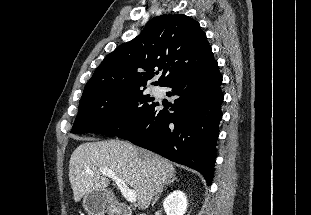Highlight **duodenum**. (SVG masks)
I'll list each match as a JSON object with an SVG mask.
<instances>
[{"mask_svg":"<svg viewBox=\"0 0 311 215\" xmlns=\"http://www.w3.org/2000/svg\"><path fill=\"white\" fill-rule=\"evenodd\" d=\"M114 215H133L131 209L124 204H119L114 210ZM137 215H146V214H137Z\"/></svg>","mask_w":311,"mask_h":215,"instance_id":"1","label":"duodenum"}]
</instances>
